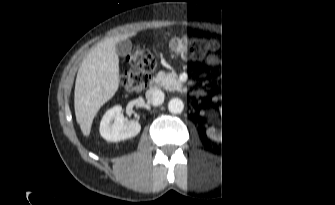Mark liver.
Instances as JSON below:
<instances>
[{"label":"liver","instance_id":"obj_1","mask_svg":"<svg viewBox=\"0 0 335 205\" xmlns=\"http://www.w3.org/2000/svg\"><path fill=\"white\" fill-rule=\"evenodd\" d=\"M126 38L121 36L120 38ZM115 40H119V37ZM112 40L98 47L79 67L74 91V109L77 123L88 135L93 116L118 88V59L111 51Z\"/></svg>","mask_w":335,"mask_h":205}]
</instances>
